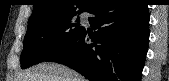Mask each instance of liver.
Segmentation results:
<instances>
[{"mask_svg": "<svg viewBox=\"0 0 169 81\" xmlns=\"http://www.w3.org/2000/svg\"><path fill=\"white\" fill-rule=\"evenodd\" d=\"M19 79V81H86L85 77L76 71L54 62L35 65L23 72Z\"/></svg>", "mask_w": 169, "mask_h": 81, "instance_id": "6515ba94", "label": "liver"}]
</instances>
